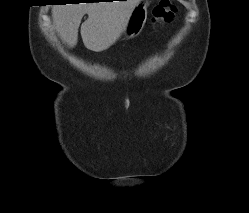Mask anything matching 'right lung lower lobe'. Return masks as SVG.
Returning <instances> with one entry per match:
<instances>
[{
	"label": "right lung lower lobe",
	"mask_w": 249,
	"mask_h": 213,
	"mask_svg": "<svg viewBox=\"0 0 249 213\" xmlns=\"http://www.w3.org/2000/svg\"><path fill=\"white\" fill-rule=\"evenodd\" d=\"M90 1H98V0H90ZM60 3V2H59ZM93 3V2H92Z\"/></svg>",
	"instance_id": "obj_1"
}]
</instances>
